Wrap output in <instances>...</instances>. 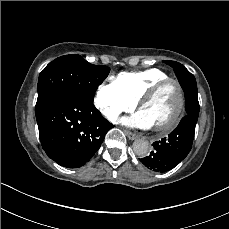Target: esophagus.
Segmentation results:
<instances>
[{"label":"esophagus","mask_w":229,"mask_h":229,"mask_svg":"<svg viewBox=\"0 0 229 229\" xmlns=\"http://www.w3.org/2000/svg\"><path fill=\"white\" fill-rule=\"evenodd\" d=\"M126 136L130 139V140H136L137 139V135L132 133V132H129V131H124Z\"/></svg>","instance_id":"obj_1"}]
</instances>
